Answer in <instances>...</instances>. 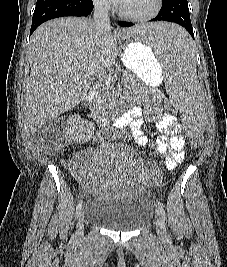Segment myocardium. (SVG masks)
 Instances as JSON below:
<instances>
[{"label":"myocardium","mask_w":227,"mask_h":267,"mask_svg":"<svg viewBox=\"0 0 227 267\" xmlns=\"http://www.w3.org/2000/svg\"><path fill=\"white\" fill-rule=\"evenodd\" d=\"M163 5V0H154V7L153 9L143 15H134L126 12L121 6L118 8V13L121 17L126 20L133 21V22H145L153 19L158 15Z\"/></svg>","instance_id":"obj_1"}]
</instances>
